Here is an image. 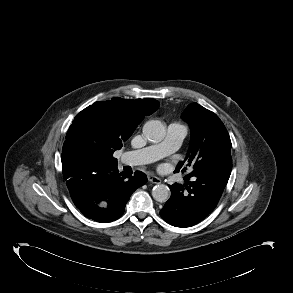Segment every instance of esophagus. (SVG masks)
Returning <instances> with one entry per match:
<instances>
[{"label": "esophagus", "mask_w": 293, "mask_h": 293, "mask_svg": "<svg viewBox=\"0 0 293 293\" xmlns=\"http://www.w3.org/2000/svg\"><path fill=\"white\" fill-rule=\"evenodd\" d=\"M148 181L153 183V184H160L161 183V179L156 177V176H152V175H149L148 176Z\"/></svg>", "instance_id": "34e87169"}]
</instances>
